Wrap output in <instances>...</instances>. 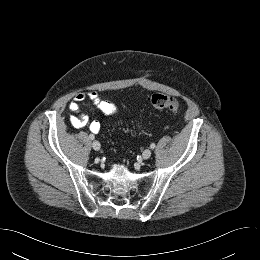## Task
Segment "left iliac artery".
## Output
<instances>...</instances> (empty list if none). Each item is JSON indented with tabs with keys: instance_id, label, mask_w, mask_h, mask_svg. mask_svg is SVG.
<instances>
[{
	"instance_id": "obj_1",
	"label": "left iliac artery",
	"mask_w": 260,
	"mask_h": 260,
	"mask_svg": "<svg viewBox=\"0 0 260 260\" xmlns=\"http://www.w3.org/2000/svg\"><path fill=\"white\" fill-rule=\"evenodd\" d=\"M156 147V145L154 144V143H152L151 145H150V148L151 149H154Z\"/></svg>"
}]
</instances>
